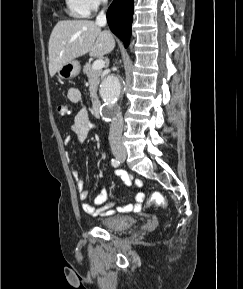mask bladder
Returning a JSON list of instances; mask_svg holds the SVG:
<instances>
[{
  "label": "bladder",
  "mask_w": 243,
  "mask_h": 289,
  "mask_svg": "<svg viewBox=\"0 0 243 289\" xmlns=\"http://www.w3.org/2000/svg\"><path fill=\"white\" fill-rule=\"evenodd\" d=\"M135 219L131 216L112 214L105 216L99 220V225L102 228L111 231H121L130 228L134 225Z\"/></svg>",
  "instance_id": "bladder-1"
}]
</instances>
